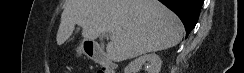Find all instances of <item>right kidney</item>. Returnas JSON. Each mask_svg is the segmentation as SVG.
Instances as JSON below:
<instances>
[{
	"label": "right kidney",
	"mask_w": 244,
	"mask_h": 73,
	"mask_svg": "<svg viewBox=\"0 0 244 73\" xmlns=\"http://www.w3.org/2000/svg\"><path fill=\"white\" fill-rule=\"evenodd\" d=\"M162 61L155 53L145 54L131 61L124 69V73H138L144 65L148 73H159Z\"/></svg>",
	"instance_id": "1"
}]
</instances>
